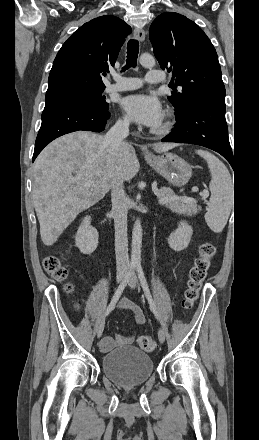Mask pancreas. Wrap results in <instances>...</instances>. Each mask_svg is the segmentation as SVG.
I'll list each match as a JSON object with an SVG mask.
<instances>
[{
    "label": "pancreas",
    "mask_w": 259,
    "mask_h": 440,
    "mask_svg": "<svg viewBox=\"0 0 259 440\" xmlns=\"http://www.w3.org/2000/svg\"><path fill=\"white\" fill-rule=\"evenodd\" d=\"M161 193L165 197L175 196L171 189L162 187L160 189ZM166 207L171 209L173 212L187 214V215H194L198 213V211L201 209L200 206H197L196 201L193 202H186L182 200H172L167 202Z\"/></svg>",
    "instance_id": "obj_1"
}]
</instances>
